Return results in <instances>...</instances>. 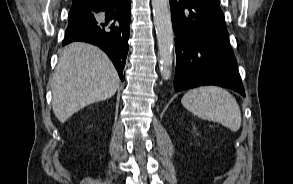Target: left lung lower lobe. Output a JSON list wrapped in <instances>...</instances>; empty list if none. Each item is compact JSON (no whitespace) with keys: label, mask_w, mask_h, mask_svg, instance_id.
Wrapping results in <instances>:
<instances>
[{"label":"left lung lower lobe","mask_w":293,"mask_h":184,"mask_svg":"<svg viewBox=\"0 0 293 184\" xmlns=\"http://www.w3.org/2000/svg\"><path fill=\"white\" fill-rule=\"evenodd\" d=\"M177 56L174 89L219 85L245 91L219 0H170Z\"/></svg>","instance_id":"obj_1"}]
</instances>
